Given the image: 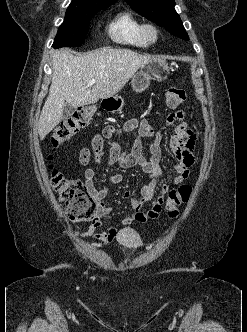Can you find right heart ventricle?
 <instances>
[{
  "label": "right heart ventricle",
  "instance_id": "e07e8e85",
  "mask_svg": "<svg viewBox=\"0 0 247 332\" xmlns=\"http://www.w3.org/2000/svg\"><path fill=\"white\" fill-rule=\"evenodd\" d=\"M143 23L131 12H122L110 21L107 26L111 39L124 46L144 48L148 42L142 35Z\"/></svg>",
  "mask_w": 247,
  "mask_h": 332
}]
</instances>
